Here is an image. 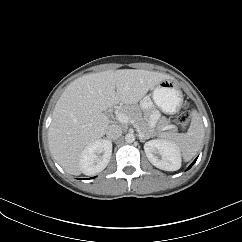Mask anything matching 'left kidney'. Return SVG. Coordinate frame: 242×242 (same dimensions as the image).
Wrapping results in <instances>:
<instances>
[{"mask_svg": "<svg viewBox=\"0 0 242 242\" xmlns=\"http://www.w3.org/2000/svg\"><path fill=\"white\" fill-rule=\"evenodd\" d=\"M148 160L155 167L165 171H176L181 167L178 146L167 140H150L144 144Z\"/></svg>", "mask_w": 242, "mask_h": 242, "instance_id": "obj_1", "label": "left kidney"}]
</instances>
